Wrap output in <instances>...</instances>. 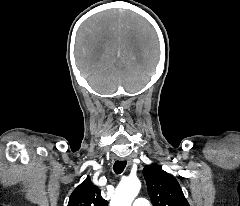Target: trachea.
I'll list each match as a JSON object with an SVG mask.
<instances>
[{
    "mask_svg": "<svg viewBox=\"0 0 240 206\" xmlns=\"http://www.w3.org/2000/svg\"><path fill=\"white\" fill-rule=\"evenodd\" d=\"M127 161H116L113 166V170L116 174H121L125 169Z\"/></svg>",
    "mask_w": 240,
    "mask_h": 206,
    "instance_id": "1",
    "label": "trachea"
}]
</instances>
